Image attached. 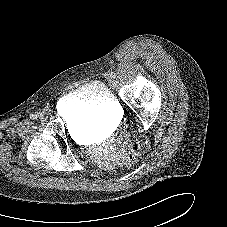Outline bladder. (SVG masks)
Here are the masks:
<instances>
[{
	"instance_id": "1",
	"label": "bladder",
	"mask_w": 227,
	"mask_h": 227,
	"mask_svg": "<svg viewBox=\"0 0 227 227\" xmlns=\"http://www.w3.org/2000/svg\"><path fill=\"white\" fill-rule=\"evenodd\" d=\"M59 107L63 112L75 110V122L80 129L95 131L111 126L121 111L118 101L101 81L89 82L66 94Z\"/></svg>"
}]
</instances>
